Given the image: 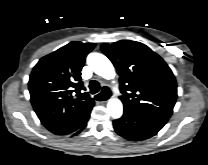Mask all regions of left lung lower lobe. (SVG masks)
Instances as JSON below:
<instances>
[{
  "label": "left lung lower lobe",
  "instance_id": "left-lung-lower-lobe-1",
  "mask_svg": "<svg viewBox=\"0 0 208 165\" xmlns=\"http://www.w3.org/2000/svg\"><path fill=\"white\" fill-rule=\"evenodd\" d=\"M169 118L164 116L144 114L124 109L120 119L113 121L115 131L130 141H141L148 139L167 123Z\"/></svg>",
  "mask_w": 208,
  "mask_h": 165
}]
</instances>
